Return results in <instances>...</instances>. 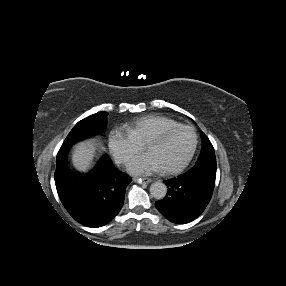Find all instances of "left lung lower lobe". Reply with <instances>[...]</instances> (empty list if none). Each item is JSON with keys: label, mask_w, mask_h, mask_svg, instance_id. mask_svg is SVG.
Wrapping results in <instances>:
<instances>
[{"label": "left lung lower lobe", "mask_w": 286, "mask_h": 286, "mask_svg": "<svg viewBox=\"0 0 286 286\" xmlns=\"http://www.w3.org/2000/svg\"><path fill=\"white\" fill-rule=\"evenodd\" d=\"M216 159L197 163L186 173L164 181L166 196L155 202L171 222L184 224L196 219L208 205L215 186Z\"/></svg>", "instance_id": "obj_1"}]
</instances>
